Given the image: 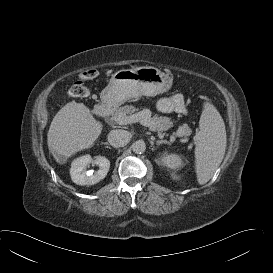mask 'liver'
<instances>
[{
    "mask_svg": "<svg viewBox=\"0 0 273 273\" xmlns=\"http://www.w3.org/2000/svg\"><path fill=\"white\" fill-rule=\"evenodd\" d=\"M103 129L83 103L69 102L54 116L47 143L59 164L78 151L92 147Z\"/></svg>",
    "mask_w": 273,
    "mask_h": 273,
    "instance_id": "1",
    "label": "liver"
}]
</instances>
